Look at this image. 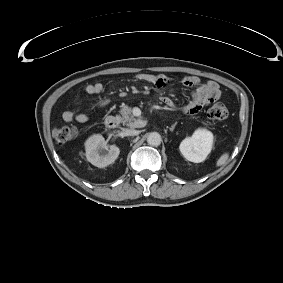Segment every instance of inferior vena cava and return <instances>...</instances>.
I'll return each instance as SVG.
<instances>
[{
    "mask_svg": "<svg viewBox=\"0 0 283 283\" xmlns=\"http://www.w3.org/2000/svg\"><path fill=\"white\" fill-rule=\"evenodd\" d=\"M124 134L126 136H136L139 134V131L135 130V129H125L124 130Z\"/></svg>",
    "mask_w": 283,
    "mask_h": 283,
    "instance_id": "obj_1",
    "label": "inferior vena cava"
}]
</instances>
